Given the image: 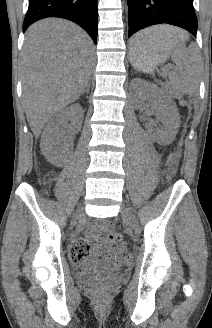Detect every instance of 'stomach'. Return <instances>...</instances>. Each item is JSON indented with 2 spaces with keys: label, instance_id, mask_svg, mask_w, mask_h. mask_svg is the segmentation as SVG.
<instances>
[{
  "label": "stomach",
  "instance_id": "obj_1",
  "mask_svg": "<svg viewBox=\"0 0 212 328\" xmlns=\"http://www.w3.org/2000/svg\"><path fill=\"white\" fill-rule=\"evenodd\" d=\"M172 49V43H169L163 48H150L139 51L135 50L132 46L130 49L131 62L139 71L152 73L159 64L166 61Z\"/></svg>",
  "mask_w": 212,
  "mask_h": 328
}]
</instances>
